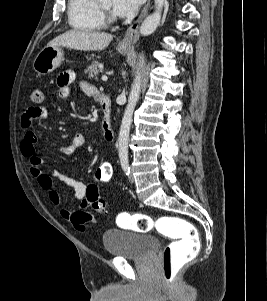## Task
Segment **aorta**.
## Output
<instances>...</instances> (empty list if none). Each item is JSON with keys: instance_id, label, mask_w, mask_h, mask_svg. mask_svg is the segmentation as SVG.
Masks as SVG:
<instances>
[{"instance_id": "aorta-1", "label": "aorta", "mask_w": 267, "mask_h": 301, "mask_svg": "<svg viewBox=\"0 0 267 301\" xmlns=\"http://www.w3.org/2000/svg\"><path fill=\"white\" fill-rule=\"evenodd\" d=\"M165 0H155V11L147 16L140 26V33L143 36L152 34L160 24L162 8ZM142 85V77L140 73L135 76L131 86L129 100L122 119L119 137H118V152L120 160L128 159V142L129 133L132 123V116L139 99Z\"/></svg>"}]
</instances>
